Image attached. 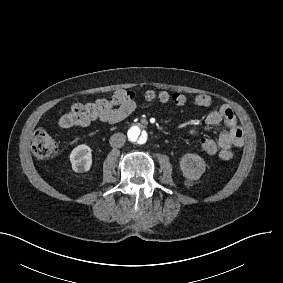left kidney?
Segmentation results:
<instances>
[{
    "label": "left kidney",
    "instance_id": "1",
    "mask_svg": "<svg viewBox=\"0 0 283 283\" xmlns=\"http://www.w3.org/2000/svg\"><path fill=\"white\" fill-rule=\"evenodd\" d=\"M180 166L184 176L196 180L205 171V162L198 155L185 154L180 160Z\"/></svg>",
    "mask_w": 283,
    "mask_h": 283
}]
</instances>
